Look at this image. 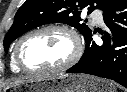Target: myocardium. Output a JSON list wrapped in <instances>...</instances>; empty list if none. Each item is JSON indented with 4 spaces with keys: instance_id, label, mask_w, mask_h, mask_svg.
I'll list each match as a JSON object with an SVG mask.
<instances>
[{
    "instance_id": "1",
    "label": "myocardium",
    "mask_w": 127,
    "mask_h": 92,
    "mask_svg": "<svg viewBox=\"0 0 127 92\" xmlns=\"http://www.w3.org/2000/svg\"><path fill=\"white\" fill-rule=\"evenodd\" d=\"M50 30H57V31H62L67 33L72 41H73V52L70 55V57L61 65L58 67L54 68H48V69H30L25 66L23 63L22 57H21V49L23 44L26 42L27 39L30 37L45 32V31H50ZM82 53V44L80 41V38L77 34V32L64 24H47L38 28H35L29 32H27L25 35H23L19 41L17 42L15 49H14V60L18 68L28 74H51V73H59V72H64L71 68L80 58Z\"/></svg>"
}]
</instances>
